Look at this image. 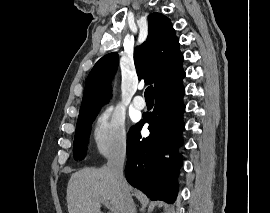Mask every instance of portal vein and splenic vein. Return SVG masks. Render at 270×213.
I'll return each mask as SVG.
<instances>
[{
  "label": "portal vein and splenic vein",
  "instance_id": "portal-vein-and-splenic-vein-1",
  "mask_svg": "<svg viewBox=\"0 0 270 213\" xmlns=\"http://www.w3.org/2000/svg\"><path fill=\"white\" fill-rule=\"evenodd\" d=\"M100 202H101L102 204H104L105 206H109V203H108L106 200H100ZM111 213H116V212H114V211L112 210Z\"/></svg>",
  "mask_w": 270,
  "mask_h": 213
}]
</instances>
